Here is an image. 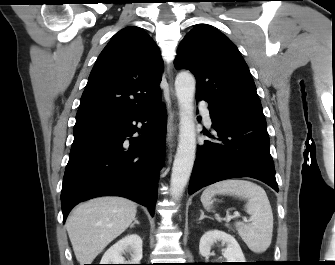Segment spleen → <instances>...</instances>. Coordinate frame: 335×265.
<instances>
[{"label":"spleen","mask_w":335,"mask_h":265,"mask_svg":"<svg viewBox=\"0 0 335 265\" xmlns=\"http://www.w3.org/2000/svg\"><path fill=\"white\" fill-rule=\"evenodd\" d=\"M216 194H227L247 201L245 210L251 216L252 223L237 222L238 233L251 251L265 252L271 244L273 233V213L265 190L247 180L221 181L203 191L201 202L205 208L211 207V199Z\"/></svg>","instance_id":"spleen-1"}]
</instances>
